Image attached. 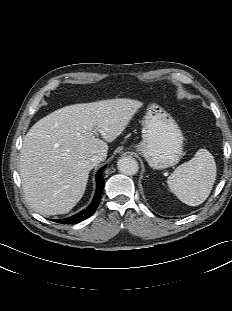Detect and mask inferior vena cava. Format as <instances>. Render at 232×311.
I'll return each instance as SVG.
<instances>
[{
  "label": "inferior vena cava",
  "mask_w": 232,
  "mask_h": 311,
  "mask_svg": "<svg viewBox=\"0 0 232 311\" xmlns=\"http://www.w3.org/2000/svg\"><path fill=\"white\" fill-rule=\"evenodd\" d=\"M103 160H104L103 156L93 155L92 157L86 160V166L87 168L92 169Z\"/></svg>",
  "instance_id": "602c4592"
}]
</instances>
